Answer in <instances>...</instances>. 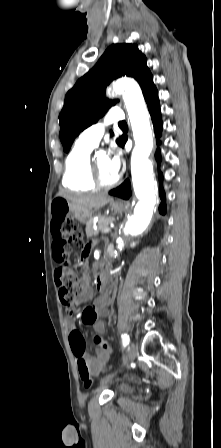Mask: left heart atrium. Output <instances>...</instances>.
Segmentation results:
<instances>
[{
    "instance_id": "1",
    "label": "left heart atrium",
    "mask_w": 221,
    "mask_h": 448,
    "mask_svg": "<svg viewBox=\"0 0 221 448\" xmlns=\"http://www.w3.org/2000/svg\"><path fill=\"white\" fill-rule=\"evenodd\" d=\"M122 165V159L119 152H115L109 157V163L108 167L112 174H114L116 177L118 176Z\"/></svg>"
}]
</instances>
